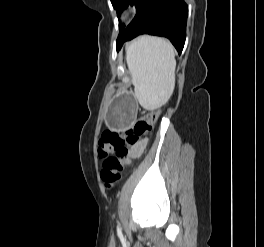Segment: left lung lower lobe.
Returning a JSON list of instances; mask_svg holds the SVG:
<instances>
[{
	"instance_id": "0a47b994",
	"label": "left lung lower lobe",
	"mask_w": 264,
	"mask_h": 247,
	"mask_svg": "<svg viewBox=\"0 0 264 247\" xmlns=\"http://www.w3.org/2000/svg\"><path fill=\"white\" fill-rule=\"evenodd\" d=\"M187 15L184 0H145L132 22L117 38V51L124 42L141 34H150L168 38L180 54L186 38Z\"/></svg>"
}]
</instances>
